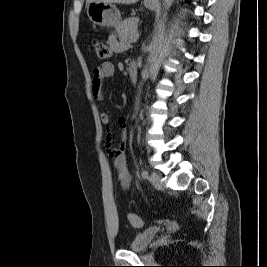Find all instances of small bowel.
Here are the masks:
<instances>
[{
    "instance_id": "obj_1",
    "label": "small bowel",
    "mask_w": 267,
    "mask_h": 267,
    "mask_svg": "<svg viewBox=\"0 0 267 267\" xmlns=\"http://www.w3.org/2000/svg\"><path fill=\"white\" fill-rule=\"evenodd\" d=\"M110 47L116 51L120 52L126 48V44L118 41L114 35L109 37ZM114 74V65L111 62H104L93 71L91 93L93 97L97 100H103V84L106 78L111 77ZM100 120L105 125L108 126L110 123V117L106 112L100 114ZM118 126L120 128V145L118 148L112 146V138L110 132L106 138L105 146L107 152L114 159V165L118 170V177L123 189H128L131 182V175L126 166V157L124 154V143L127 139V120L125 117H118Z\"/></svg>"
}]
</instances>
